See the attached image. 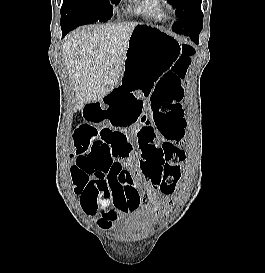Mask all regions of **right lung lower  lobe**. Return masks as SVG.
<instances>
[{"mask_svg":"<svg viewBox=\"0 0 265 273\" xmlns=\"http://www.w3.org/2000/svg\"><path fill=\"white\" fill-rule=\"evenodd\" d=\"M63 33V36H65L67 33H65V32H62Z\"/></svg>","mask_w":265,"mask_h":273,"instance_id":"98d812e1","label":"right lung lower lobe"}]
</instances>
